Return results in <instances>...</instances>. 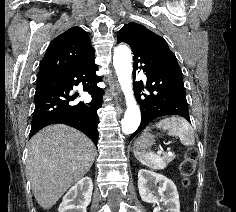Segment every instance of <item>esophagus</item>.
I'll list each match as a JSON object with an SVG mask.
<instances>
[{
  "mask_svg": "<svg viewBox=\"0 0 236 212\" xmlns=\"http://www.w3.org/2000/svg\"><path fill=\"white\" fill-rule=\"evenodd\" d=\"M110 91L112 92V94H119L120 89H119L118 83H114V85L111 87Z\"/></svg>",
  "mask_w": 236,
  "mask_h": 212,
  "instance_id": "34e87169",
  "label": "esophagus"
}]
</instances>
